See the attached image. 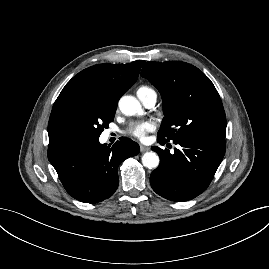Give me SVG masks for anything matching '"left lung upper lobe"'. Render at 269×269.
I'll return each mask as SVG.
<instances>
[{"label":"left lung upper lobe","mask_w":269,"mask_h":269,"mask_svg":"<svg viewBox=\"0 0 269 269\" xmlns=\"http://www.w3.org/2000/svg\"><path fill=\"white\" fill-rule=\"evenodd\" d=\"M141 76L160 92L165 117L158 140L176 141L195 136L225 138L226 116L211 80L185 62H147Z\"/></svg>","instance_id":"obj_1"}]
</instances>
